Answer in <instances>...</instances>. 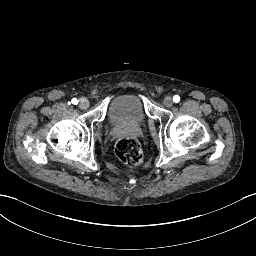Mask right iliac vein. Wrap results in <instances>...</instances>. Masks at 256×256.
Wrapping results in <instances>:
<instances>
[{"label": "right iliac vein", "instance_id": "obj_1", "mask_svg": "<svg viewBox=\"0 0 256 256\" xmlns=\"http://www.w3.org/2000/svg\"><path fill=\"white\" fill-rule=\"evenodd\" d=\"M79 106L82 110H86L89 107V101L87 98H81Z\"/></svg>", "mask_w": 256, "mask_h": 256}]
</instances>
